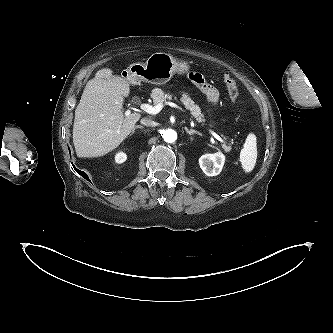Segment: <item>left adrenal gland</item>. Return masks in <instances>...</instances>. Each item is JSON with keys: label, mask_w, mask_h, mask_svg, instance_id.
I'll list each match as a JSON object with an SVG mask.
<instances>
[{"label": "left adrenal gland", "mask_w": 333, "mask_h": 333, "mask_svg": "<svg viewBox=\"0 0 333 333\" xmlns=\"http://www.w3.org/2000/svg\"><path fill=\"white\" fill-rule=\"evenodd\" d=\"M185 130L189 135L198 134V135L202 136V134L200 132L196 131V130L188 129V128H185Z\"/></svg>", "instance_id": "a2214340"}]
</instances>
